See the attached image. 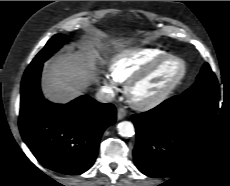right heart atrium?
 Instances as JSON below:
<instances>
[{
    "mask_svg": "<svg viewBox=\"0 0 230 186\" xmlns=\"http://www.w3.org/2000/svg\"><path fill=\"white\" fill-rule=\"evenodd\" d=\"M104 87L107 90H116L118 87V81L112 76H107L104 80Z\"/></svg>",
    "mask_w": 230,
    "mask_h": 186,
    "instance_id": "obj_1",
    "label": "right heart atrium"
}]
</instances>
